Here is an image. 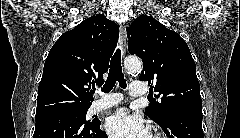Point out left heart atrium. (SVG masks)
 Instances as JSON below:
<instances>
[{
  "label": "left heart atrium",
  "instance_id": "left-heart-atrium-1",
  "mask_svg": "<svg viewBox=\"0 0 240 138\" xmlns=\"http://www.w3.org/2000/svg\"><path fill=\"white\" fill-rule=\"evenodd\" d=\"M105 127L113 138H148L150 135L142 118L126 108H120L109 116Z\"/></svg>",
  "mask_w": 240,
  "mask_h": 138
}]
</instances>
